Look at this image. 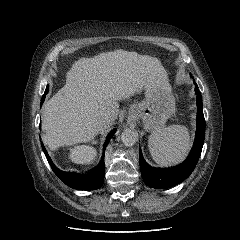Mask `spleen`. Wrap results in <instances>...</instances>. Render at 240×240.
Listing matches in <instances>:
<instances>
[{
    "label": "spleen",
    "mask_w": 240,
    "mask_h": 240,
    "mask_svg": "<svg viewBox=\"0 0 240 240\" xmlns=\"http://www.w3.org/2000/svg\"><path fill=\"white\" fill-rule=\"evenodd\" d=\"M148 147L157 164H176L184 158L190 147L188 129L183 125H171L156 130L149 136Z\"/></svg>",
    "instance_id": "3e777b00"
}]
</instances>
